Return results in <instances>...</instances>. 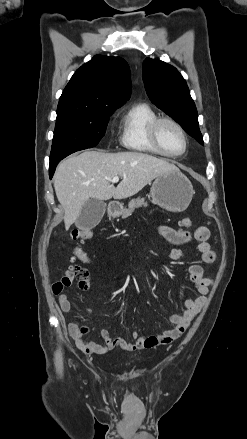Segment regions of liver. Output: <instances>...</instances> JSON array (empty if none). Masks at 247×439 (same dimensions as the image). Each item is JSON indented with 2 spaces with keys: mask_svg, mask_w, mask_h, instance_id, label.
I'll list each match as a JSON object with an SVG mask.
<instances>
[{
  "mask_svg": "<svg viewBox=\"0 0 247 439\" xmlns=\"http://www.w3.org/2000/svg\"><path fill=\"white\" fill-rule=\"evenodd\" d=\"M179 170L174 164L139 152L85 151L63 160L56 168L54 188L64 209L66 230L91 198L125 199L137 194L158 176ZM121 177L117 187L110 180Z\"/></svg>",
  "mask_w": 247,
  "mask_h": 439,
  "instance_id": "1",
  "label": "liver"
}]
</instances>
